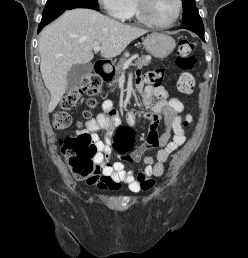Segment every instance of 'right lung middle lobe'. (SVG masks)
Here are the masks:
<instances>
[{"instance_id": "dd1d6c3e", "label": "right lung middle lobe", "mask_w": 248, "mask_h": 258, "mask_svg": "<svg viewBox=\"0 0 248 258\" xmlns=\"http://www.w3.org/2000/svg\"><path fill=\"white\" fill-rule=\"evenodd\" d=\"M80 5L99 7L97 0H47L42 19H46L59 12L70 10Z\"/></svg>"}]
</instances>
